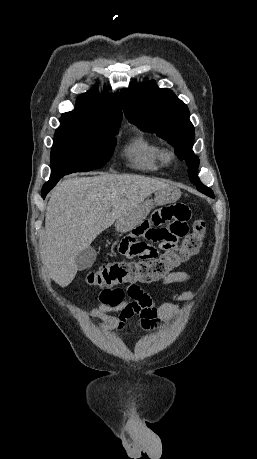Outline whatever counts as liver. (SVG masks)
<instances>
[{
    "instance_id": "liver-1",
    "label": "liver",
    "mask_w": 257,
    "mask_h": 459,
    "mask_svg": "<svg viewBox=\"0 0 257 459\" xmlns=\"http://www.w3.org/2000/svg\"><path fill=\"white\" fill-rule=\"evenodd\" d=\"M170 185L140 175L102 174L63 181L46 208L42 261L52 280L68 286L76 256L150 194Z\"/></svg>"
}]
</instances>
